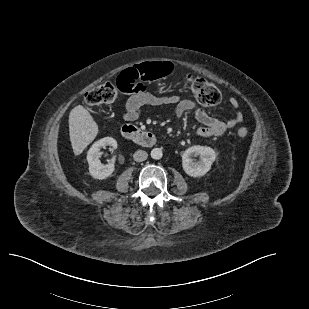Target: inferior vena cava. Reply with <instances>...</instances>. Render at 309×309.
I'll list each match as a JSON object with an SVG mask.
<instances>
[{
    "mask_svg": "<svg viewBox=\"0 0 309 309\" xmlns=\"http://www.w3.org/2000/svg\"><path fill=\"white\" fill-rule=\"evenodd\" d=\"M133 158L137 162H142V161H145L148 158V153L144 150H137L134 153Z\"/></svg>",
    "mask_w": 309,
    "mask_h": 309,
    "instance_id": "obj_1",
    "label": "inferior vena cava"
}]
</instances>
